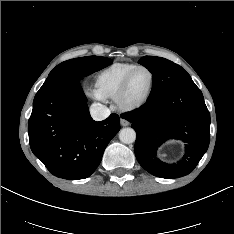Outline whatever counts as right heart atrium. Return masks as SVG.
<instances>
[{
  "instance_id": "d8ad5b80",
  "label": "right heart atrium",
  "mask_w": 234,
  "mask_h": 234,
  "mask_svg": "<svg viewBox=\"0 0 234 234\" xmlns=\"http://www.w3.org/2000/svg\"><path fill=\"white\" fill-rule=\"evenodd\" d=\"M88 95L96 100H104L95 88L89 89Z\"/></svg>"
}]
</instances>
